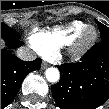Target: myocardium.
Masks as SVG:
<instances>
[{"label":"myocardium","instance_id":"1","mask_svg":"<svg viewBox=\"0 0 109 109\" xmlns=\"http://www.w3.org/2000/svg\"><path fill=\"white\" fill-rule=\"evenodd\" d=\"M90 32H93V36L90 39H87V35ZM97 37L98 33L94 27L87 26L86 28H84L70 44L69 48L70 56L75 59L83 56L95 43ZM48 58L52 59L53 57Z\"/></svg>","mask_w":109,"mask_h":109}]
</instances>
